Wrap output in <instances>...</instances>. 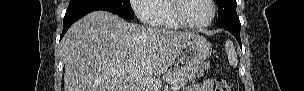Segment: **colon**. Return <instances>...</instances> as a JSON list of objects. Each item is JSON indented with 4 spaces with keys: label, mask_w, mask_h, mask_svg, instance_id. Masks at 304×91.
Returning <instances> with one entry per match:
<instances>
[{
    "label": "colon",
    "mask_w": 304,
    "mask_h": 91,
    "mask_svg": "<svg viewBox=\"0 0 304 91\" xmlns=\"http://www.w3.org/2000/svg\"><path fill=\"white\" fill-rule=\"evenodd\" d=\"M216 91H234L233 86H231L226 80L222 78L216 79Z\"/></svg>",
    "instance_id": "colon-1"
}]
</instances>
